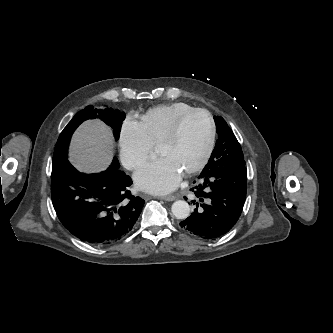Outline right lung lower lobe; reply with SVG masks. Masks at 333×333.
I'll return each mask as SVG.
<instances>
[{"label": "right lung lower lobe", "instance_id": "obj_1", "mask_svg": "<svg viewBox=\"0 0 333 333\" xmlns=\"http://www.w3.org/2000/svg\"><path fill=\"white\" fill-rule=\"evenodd\" d=\"M115 157L106 171L84 174L67 157L53 162L52 203L63 226L93 245L113 244L136 223L144 200L131 194L130 176L119 170Z\"/></svg>", "mask_w": 333, "mask_h": 333}]
</instances>
